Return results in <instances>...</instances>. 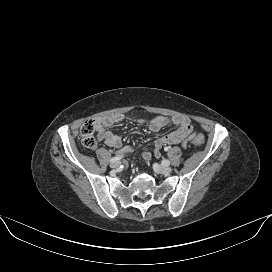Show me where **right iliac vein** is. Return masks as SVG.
<instances>
[{
    "mask_svg": "<svg viewBox=\"0 0 272 272\" xmlns=\"http://www.w3.org/2000/svg\"><path fill=\"white\" fill-rule=\"evenodd\" d=\"M119 165H120V162H119V161H116V162L111 163V164H110V167H111V168H117Z\"/></svg>",
    "mask_w": 272,
    "mask_h": 272,
    "instance_id": "right-iliac-vein-1",
    "label": "right iliac vein"
}]
</instances>
